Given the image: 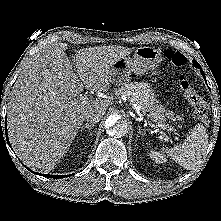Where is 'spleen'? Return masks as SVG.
I'll return each mask as SVG.
<instances>
[{
  "label": "spleen",
  "instance_id": "3e777b00",
  "mask_svg": "<svg viewBox=\"0 0 221 221\" xmlns=\"http://www.w3.org/2000/svg\"><path fill=\"white\" fill-rule=\"evenodd\" d=\"M208 136L203 125L198 124L192 130L184 143L162 151L167 153L183 168L193 169L200 161L207 148Z\"/></svg>",
  "mask_w": 221,
  "mask_h": 221
}]
</instances>
